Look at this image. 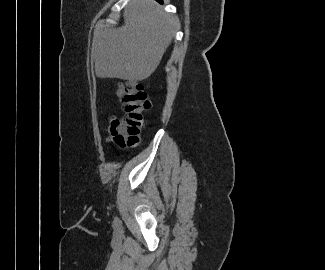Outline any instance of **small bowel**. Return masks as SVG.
<instances>
[{
	"label": "small bowel",
	"instance_id": "obj_1",
	"mask_svg": "<svg viewBox=\"0 0 325 270\" xmlns=\"http://www.w3.org/2000/svg\"><path fill=\"white\" fill-rule=\"evenodd\" d=\"M114 119H116V118L115 117L111 118L110 125H109V132H110L111 138H112V126H111V123L114 121Z\"/></svg>",
	"mask_w": 325,
	"mask_h": 270
}]
</instances>
